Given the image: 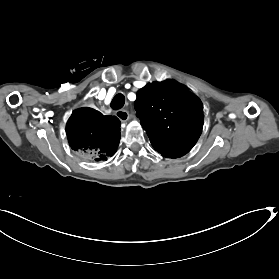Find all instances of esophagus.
Here are the masks:
<instances>
[{"instance_id": "obj_1", "label": "esophagus", "mask_w": 279, "mask_h": 279, "mask_svg": "<svg viewBox=\"0 0 279 279\" xmlns=\"http://www.w3.org/2000/svg\"><path fill=\"white\" fill-rule=\"evenodd\" d=\"M115 115L121 122H126L129 119V112L125 109L117 110Z\"/></svg>"}]
</instances>
